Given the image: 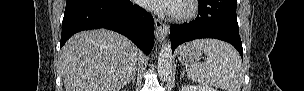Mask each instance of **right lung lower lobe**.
Listing matches in <instances>:
<instances>
[{
	"instance_id": "98d812e1",
	"label": "right lung lower lobe",
	"mask_w": 304,
	"mask_h": 91,
	"mask_svg": "<svg viewBox=\"0 0 304 91\" xmlns=\"http://www.w3.org/2000/svg\"><path fill=\"white\" fill-rule=\"evenodd\" d=\"M97 28L126 36L147 54L153 48L154 19L129 0H67L60 48L73 34Z\"/></svg>"
}]
</instances>
